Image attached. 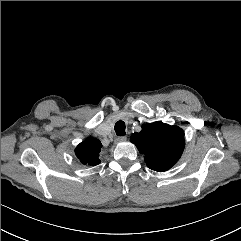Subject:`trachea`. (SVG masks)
I'll return each mask as SVG.
<instances>
[{
  "mask_svg": "<svg viewBox=\"0 0 241 241\" xmlns=\"http://www.w3.org/2000/svg\"><path fill=\"white\" fill-rule=\"evenodd\" d=\"M125 123L123 121H118L115 124V132L118 136H124L125 135Z\"/></svg>",
  "mask_w": 241,
  "mask_h": 241,
  "instance_id": "trachea-1",
  "label": "trachea"
}]
</instances>
